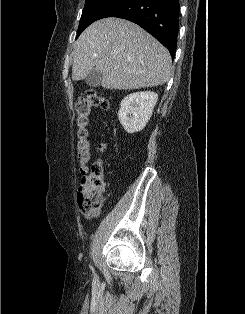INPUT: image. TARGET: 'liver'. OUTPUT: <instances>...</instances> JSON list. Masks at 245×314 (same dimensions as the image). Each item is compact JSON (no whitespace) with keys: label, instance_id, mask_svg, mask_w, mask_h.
Masks as SVG:
<instances>
[{"label":"liver","instance_id":"1","mask_svg":"<svg viewBox=\"0 0 245 314\" xmlns=\"http://www.w3.org/2000/svg\"><path fill=\"white\" fill-rule=\"evenodd\" d=\"M171 64L168 50L152 35L111 17L92 23L75 42L72 79H85L96 68L105 89H140L165 84Z\"/></svg>","mask_w":245,"mask_h":314}]
</instances>
